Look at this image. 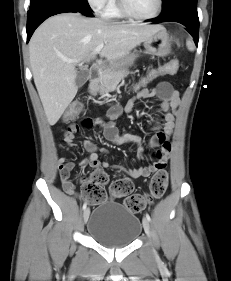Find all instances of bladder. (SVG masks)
<instances>
[{
    "instance_id": "bladder-1",
    "label": "bladder",
    "mask_w": 231,
    "mask_h": 281,
    "mask_svg": "<svg viewBox=\"0 0 231 281\" xmlns=\"http://www.w3.org/2000/svg\"><path fill=\"white\" fill-rule=\"evenodd\" d=\"M89 236L107 248H122L133 243L141 234L137 215L120 203H100L87 220Z\"/></svg>"
}]
</instances>
